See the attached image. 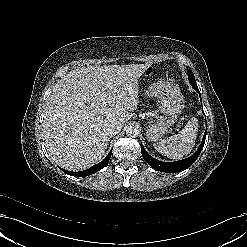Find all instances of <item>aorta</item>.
Returning a JSON list of instances; mask_svg holds the SVG:
<instances>
[{
  "instance_id": "762f6f07",
  "label": "aorta",
  "mask_w": 247,
  "mask_h": 247,
  "mask_svg": "<svg viewBox=\"0 0 247 247\" xmlns=\"http://www.w3.org/2000/svg\"><path fill=\"white\" fill-rule=\"evenodd\" d=\"M126 135L135 138L139 135V130L136 126L130 125L126 128Z\"/></svg>"
}]
</instances>
